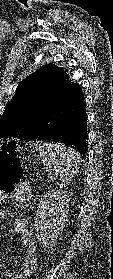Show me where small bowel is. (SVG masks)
Segmentation results:
<instances>
[{
    "instance_id": "obj_1",
    "label": "small bowel",
    "mask_w": 113,
    "mask_h": 279,
    "mask_svg": "<svg viewBox=\"0 0 113 279\" xmlns=\"http://www.w3.org/2000/svg\"><path fill=\"white\" fill-rule=\"evenodd\" d=\"M30 200V196L26 192H19L11 196L0 193L1 201H12L19 207H24ZM4 218V211L0 208V221ZM14 233L19 236L20 244L24 248V264L19 273H12L4 271L1 273V279H27L35 271L37 267V255L35 253V245L33 240V233L28 223L23 219H17L13 224ZM1 271V265H0Z\"/></svg>"
}]
</instances>
